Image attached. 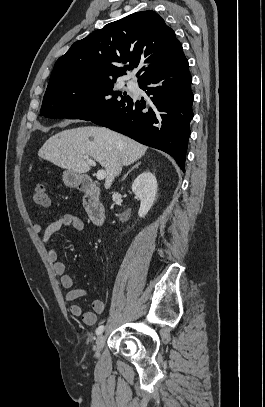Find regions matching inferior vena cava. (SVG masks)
Returning <instances> with one entry per match:
<instances>
[{
  "instance_id": "602c4592",
  "label": "inferior vena cava",
  "mask_w": 265,
  "mask_h": 407,
  "mask_svg": "<svg viewBox=\"0 0 265 407\" xmlns=\"http://www.w3.org/2000/svg\"><path fill=\"white\" fill-rule=\"evenodd\" d=\"M121 170H122V165L120 164V165L118 166V168H117V175H119V173L121 172Z\"/></svg>"
}]
</instances>
